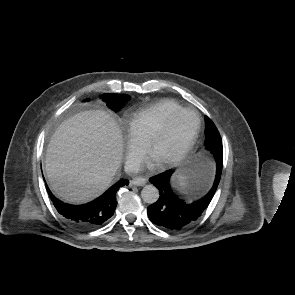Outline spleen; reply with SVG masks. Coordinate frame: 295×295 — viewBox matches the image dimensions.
Returning a JSON list of instances; mask_svg holds the SVG:
<instances>
[{
  "label": "spleen",
  "instance_id": "3e777b00",
  "mask_svg": "<svg viewBox=\"0 0 295 295\" xmlns=\"http://www.w3.org/2000/svg\"><path fill=\"white\" fill-rule=\"evenodd\" d=\"M178 185L182 190H186L189 186L188 178L184 175H178Z\"/></svg>",
  "mask_w": 295,
  "mask_h": 295
}]
</instances>
